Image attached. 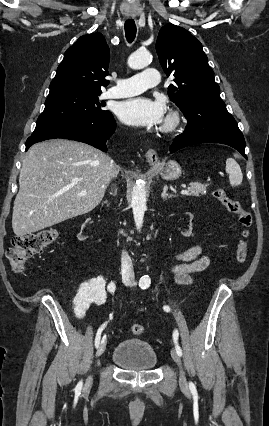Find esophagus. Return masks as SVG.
<instances>
[{
	"label": "esophagus",
	"mask_w": 269,
	"mask_h": 426,
	"mask_svg": "<svg viewBox=\"0 0 269 426\" xmlns=\"http://www.w3.org/2000/svg\"><path fill=\"white\" fill-rule=\"evenodd\" d=\"M145 156L150 165H156L159 161L158 154L154 149H149Z\"/></svg>",
	"instance_id": "1"
}]
</instances>
